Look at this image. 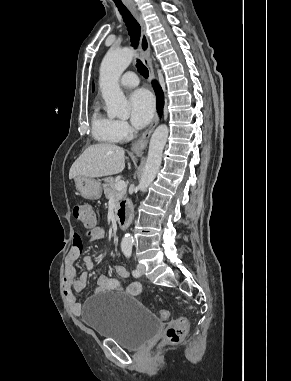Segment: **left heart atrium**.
<instances>
[{"mask_svg": "<svg viewBox=\"0 0 291 381\" xmlns=\"http://www.w3.org/2000/svg\"><path fill=\"white\" fill-rule=\"evenodd\" d=\"M131 121L136 127L146 126L153 117L155 103L152 95L144 90L134 91L129 99Z\"/></svg>", "mask_w": 291, "mask_h": 381, "instance_id": "1", "label": "left heart atrium"}]
</instances>
